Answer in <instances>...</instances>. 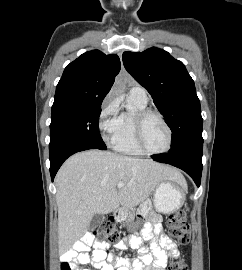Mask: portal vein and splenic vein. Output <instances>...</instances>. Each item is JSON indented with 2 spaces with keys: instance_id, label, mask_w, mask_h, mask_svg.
Masks as SVG:
<instances>
[{
  "instance_id": "obj_1",
  "label": "portal vein and splenic vein",
  "mask_w": 242,
  "mask_h": 270,
  "mask_svg": "<svg viewBox=\"0 0 242 270\" xmlns=\"http://www.w3.org/2000/svg\"><path fill=\"white\" fill-rule=\"evenodd\" d=\"M123 186H125V184H124L123 182H119V183L117 184V188H118V189L122 188Z\"/></svg>"
}]
</instances>
